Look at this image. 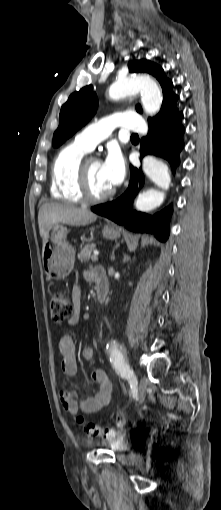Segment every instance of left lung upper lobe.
I'll list each match as a JSON object with an SVG mask.
<instances>
[{
	"label": "left lung upper lobe",
	"instance_id": "obj_1",
	"mask_svg": "<svg viewBox=\"0 0 221 510\" xmlns=\"http://www.w3.org/2000/svg\"><path fill=\"white\" fill-rule=\"evenodd\" d=\"M128 67L130 72H146L153 75L162 87L163 103L161 110L158 115L149 118L148 121L159 119L172 111H178L177 101L179 97L173 93L172 81L166 78L161 67L147 60L132 61L128 64ZM97 107L98 98L92 85L71 94L68 101L61 108L59 127L53 136V146L59 147L84 126L96 113ZM136 110L142 113L140 105L136 106Z\"/></svg>",
	"mask_w": 221,
	"mask_h": 510
}]
</instances>
